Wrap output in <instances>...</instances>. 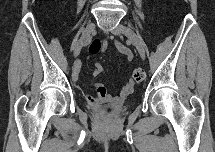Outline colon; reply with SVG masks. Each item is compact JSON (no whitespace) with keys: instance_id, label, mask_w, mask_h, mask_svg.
I'll list each match as a JSON object with an SVG mask.
<instances>
[{"instance_id":"5ec220e1","label":"colon","mask_w":215,"mask_h":152,"mask_svg":"<svg viewBox=\"0 0 215 152\" xmlns=\"http://www.w3.org/2000/svg\"><path fill=\"white\" fill-rule=\"evenodd\" d=\"M100 48H101L100 42L99 41H94L89 46V52L91 54H96L100 50ZM132 76H133L134 82L140 83V82H142L144 80L145 73L141 69H135Z\"/></svg>"}]
</instances>
